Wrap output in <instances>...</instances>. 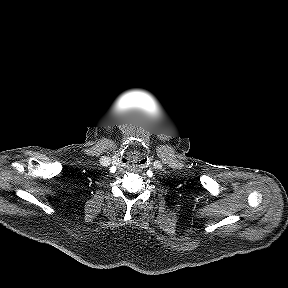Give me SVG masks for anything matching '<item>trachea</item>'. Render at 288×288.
<instances>
[{
	"instance_id": "trachea-1",
	"label": "trachea",
	"mask_w": 288,
	"mask_h": 288,
	"mask_svg": "<svg viewBox=\"0 0 288 288\" xmlns=\"http://www.w3.org/2000/svg\"><path fill=\"white\" fill-rule=\"evenodd\" d=\"M140 159H141L140 155L137 152H132L128 155L129 164H133V165L138 164L139 162H141Z\"/></svg>"
}]
</instances>
